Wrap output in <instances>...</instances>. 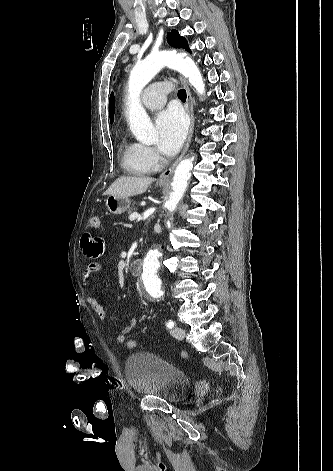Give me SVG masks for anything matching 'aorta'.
<instances>
[{"label": "aorta", "instance_id": "obj_1", "mask_svg": "<svg viewBox=\"0 0 333 471\" xmlns=\"http://www.w3.org/2000/svg\"><path fill=\"white\" fill-rule=\"evenodd\" d=\"M168 66L180 72L189 80V83L199 94L205 93V84L202 75L189 57H183L171 52L163 51L149 55L145 60L136 64L131 70L128 80V121L129 127L135 138L144 143L152 144L156 141L157 135L153 124L140 103V93L142 89L152 80V78L162 69ZM193 166V157L182 160L175 169L172 192L170 193L165 207L169 212L175 211L177 204L186 191L190 170ZM169 223V222H168ZM162 256L158 248L150 249L143 261L141 279L144 292L148 296L161 297L164 291L158 277L160 268V257Z\"/></svg>", "mask_w": 333, "mask_h": 471}]
</instances>
